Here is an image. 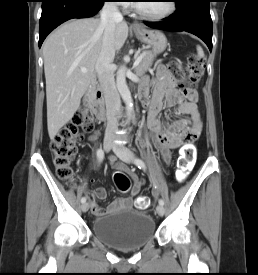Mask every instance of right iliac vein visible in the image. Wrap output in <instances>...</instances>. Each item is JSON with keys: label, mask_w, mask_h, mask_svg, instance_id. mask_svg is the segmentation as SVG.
<instances>
[{"label": "right iliac vein", "mask_w": 258, "mask_h": 275, "mask_svg": "<svg viewBox=\"0 0 258 275\" xmlns=\"http://www.w3.org/2000/svg\"><path fill=\"white\" fill-rule=\"evenodd\" d=\"M112 140L111 139H105L103 142V148L106 152L110 151V149L112 148ZM81 209L83 212L88 211L89 209V203L88 202H84L81 206Z\"/></svg>", "instance_id": "1"}]
</instances>
